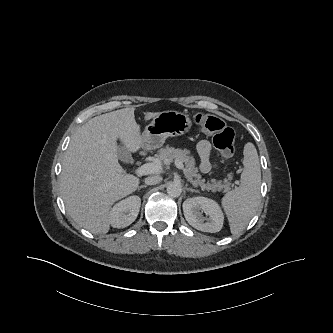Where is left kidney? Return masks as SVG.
Masks as SVG:
<instances>
[{
    "instance_id": "5707ae66",
    "label": "left kidney",
    "mask_w": 333,
    "mask_h": 333,
    "mask_svg": "<svg viewBox=\"0 0 333 333\" xmlns=\"http://www.w3.org/2000/svg\"><path fill=\"white\" fill-rule=\"evenodd\" d=\"M183 212L187 222L197 230L216 233L223 227V212L212 199L201 196L189 198L183 202ZM202 212L208 218L204 217Z\"/></svg>"
}]
</instances>
